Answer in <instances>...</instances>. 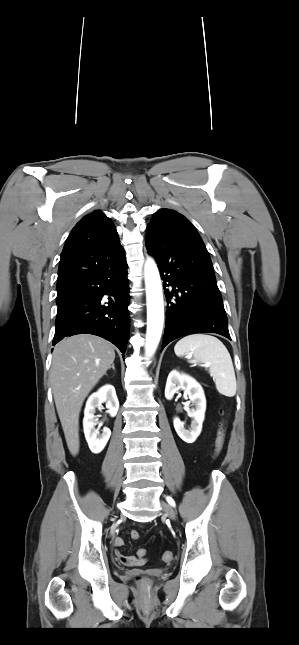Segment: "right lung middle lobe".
<instances>
[{
	"mask_svg": "<svg viewBox=\"0 0 299 645\" xmlns=\"http://www.w3.org/2000/svg\"><path fill=\"white\" fill-rule=\"evenodd\" d=\"M68 293H69V292H68V289H67V290H61V291H58V293H57V298H56L57 305H59V304L64 300V298L66 297V295H67Z\"/></svg>",
	"mask_w": 299,
	"mask_h": 645,
	"instance_id": "1",
	"label": "right lung middle lobe"
}]
</instances>
